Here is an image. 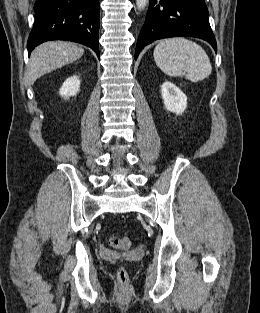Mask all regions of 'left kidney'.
<instances>
[{"mask_svg": "<svg viewBox=\"0 0 260 313\" xmlns=\"http://www.w3.org/2000/svg\"><path fill=\"white\" fill-rule=\"evenodd\" d=\"M161 95L168 111L182 114L187 107L186 95L173 83L164 82L161 86Z\"/></svg>", "mask_w": 260, "mask_h": 313, "instance_id": "obj_1", "label": "left kidney"}]
</instances>
